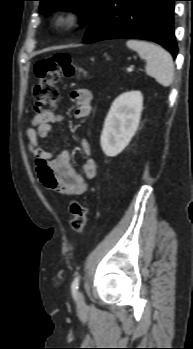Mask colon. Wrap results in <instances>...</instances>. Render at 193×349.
<instances>
[{
  "label": "colon",
  "instance_id": "obj_1",
  "mask_svg": "<svg viewBox=\"0 0 193 349\" xmlns=\"http://www.w3.org/2000/svg\"><path fill=\"white\" fill-rule=\"evenodd\" d=\"M35 73L39 83L34 90L35 109L38 114L53 113L59 98L58 82L63 77H73L83 73L69 56L65 54L55 55L53 58L38 61L35 65ZM72 215L71 226L77 234H82L87 223V209L78 201L70 204Z\"/></svg>",
  "mask_w": 193,
  "mask_h": 349
}]
</instances>
